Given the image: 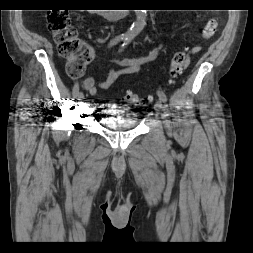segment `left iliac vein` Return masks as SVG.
Returning <instances> with one entry per match:
<instances>
[{
    "label": "left iliac vein",
    "instance_id": "left-iliac-vein-1",
    "mask_svg": "<svg viewBox=\"0 0 253 253\" xmlns=\"http://www.w3.org/2000/svg\"><path fill=\"white\" fill-rule=\"evenodd\" d=\"M154 109L156 112H160L162 109V103L160 100H157L154 104Z\"/></svg>",
    "mask_w": 253,
    "mask_h": 253
}]
</instances>
